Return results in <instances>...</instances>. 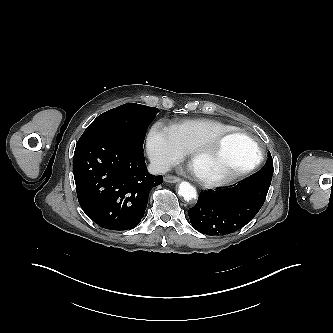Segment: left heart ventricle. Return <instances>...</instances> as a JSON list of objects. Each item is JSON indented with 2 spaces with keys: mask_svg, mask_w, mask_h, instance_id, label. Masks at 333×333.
<instances>
[{
  "mask_svg": "<svg viewBox=\"0 0 333 333\" xmlns=\"http://www.w3.org/2000/svg\"><path fill=\"white\" fill-rule=\"evenodd\" d=\"M256 157L255 146L242 135L223 139L209 154L198 157L192 168L204 176H221L247 166Z\"/></svg>",
  "mask_w": 333,
  "mask_h": 333,
  "instance_id": "b2bd125f",
  "label": "left heart ventricle"
}]
</instances>
